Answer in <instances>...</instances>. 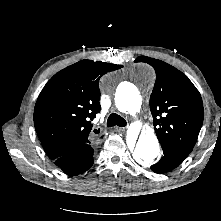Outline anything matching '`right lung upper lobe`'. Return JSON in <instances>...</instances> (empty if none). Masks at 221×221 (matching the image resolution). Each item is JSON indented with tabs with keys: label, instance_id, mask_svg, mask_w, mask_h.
<instances>
[{
	"label": "right lung upper lobe",
	"instance_id": "1",
	"mask_svg": "<svg viewBox=\"0 0 221 221\" xmlns=\"http://www.w3.org/2000/svg\"><path fill=\"white\" fill-rule=\"evenodd\" d=\"M121 67L82 60L59 71L48 81L35 105L34 125L51 159L95 137L91 121L100 111L99 80L105 73Z\"/></svg>",
	"mask_w": 221,
	"mask_h": 221
}]
</instances>
